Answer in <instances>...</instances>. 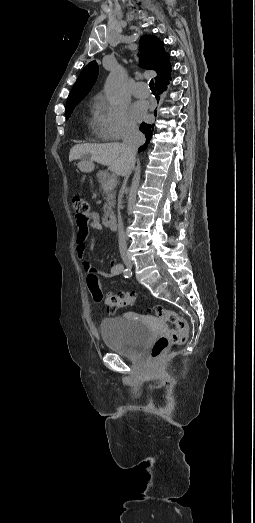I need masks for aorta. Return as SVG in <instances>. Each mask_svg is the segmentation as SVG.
I'll use <instances>...</instances> for the list:
<instances>
[{"mask_svg":"<svg viewBox=\"0 0 255 523\" xmlns=\"http://www.w3.org/2000/svg\"><path fill=\"white\" fill-rule=\"evenodd\" d=\"M124 75L123 72L118 69L112 71L105 83V94L108 101L112 104L117 103L123 93Z\"/></svg>","mask_w":255,"mask_h":523,"instance_id":"1","label":"aorta"}]
</instances>
